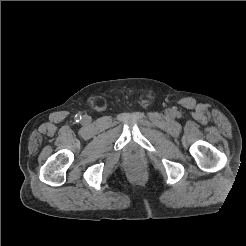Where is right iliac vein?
<instances>
[{
  "instance_id": "63e3f726",
  "label": "right iliac vein",
  "mask_w": 246,
  "mask_h": 246,
  "mask_svg": "<svg viewBox=\"0 0 246 246\" xmlns=\"http://www.w3.org/2000/svg\"><path fill=\"white\" fill-rule=\"evenodd\" d=\"M89 117L88 116H84L83 118H82V121L84 122V123H88L89 122Z\"/></svg>"
}]
</instances>
